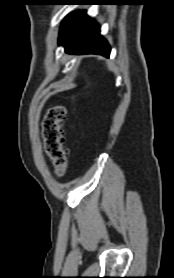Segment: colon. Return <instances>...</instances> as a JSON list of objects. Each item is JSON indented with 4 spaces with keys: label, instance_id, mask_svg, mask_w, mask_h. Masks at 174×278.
<instances>
[{
    "label": "colon",
    "instance_id": "colon-1",
    "mask_svg": "<svg viewBox=\"0 0 174 278\" xmlns=\"http://www.w3.org/2000/svg\"><path fill=\"white\" fill-rule=\"evenodd\" d=\"M67 110L63 105L51 107L42 122L44 149L57 175H63L68 166V150L64 145L63 123Z\"/></svg>",
    "mask_w": 174,
    "mask_h": 278
}]
</instances>
